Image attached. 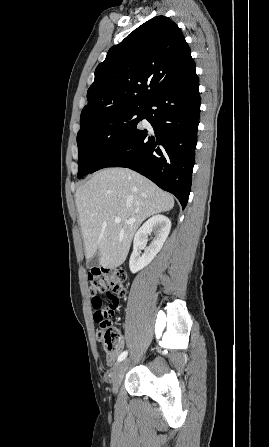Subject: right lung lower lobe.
I'll return each mask as SVG.
<instances>
[{
	"label": "right lung lower lobe",
	"instance_id": "98d812e1",
	"mask_svg": "<svg viewBox=\"0 0 269 447\" xmlns=\"http://www.w3.org/2000/svg\"><path fill=\"white\" fill-rule=\"evenodd\" d=\"M194 61L174 81L144 102L142 119L153 130L135 129L92 169L126 167L187 204L195 160L200 93Z\"/></svg>",
	"mask_w": 269,
	"mask_h": 447
}]
</instances>
